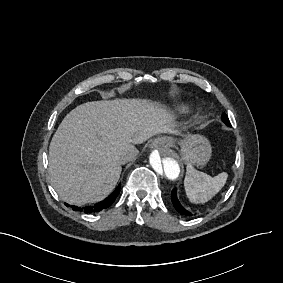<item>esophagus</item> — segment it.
I'll return each mask as SVG.
<instances>
[{
    "label": "esophagus",
    "mask_w": 283,
    "mask_h": 283,
    "mask_svg": "<svg viewBox=\"0 0 283 283\" xmlns=\"http://www.w3.org/2000/svg\"><path fill=\"white\" fill-rule=\"evenodd\" d=\"M167 137L165 136H161V137H157L156 139H154L151 143L152 147H162L167 143Z\"/></svg>",
    "instance_id": "obj_1"
}]
</instances>
